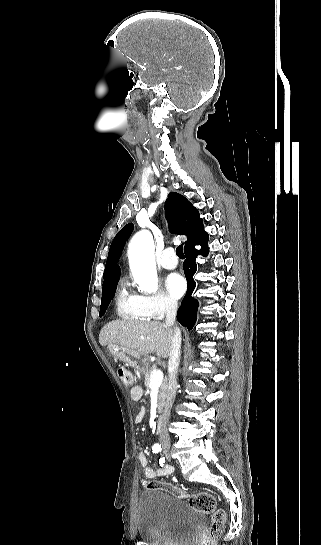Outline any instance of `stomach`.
<instances>
[{
	"mask_svg": "<svg viewBox=\"0 0 321 545\" xmlns=\"http://www.w3.org/2000/svg\"><path fill=\"white\" fill-rule=\"evenodd\" d=\"M108 351L112 357L128 363L132 369H136L138 373H145L150 367L149 355H140L137 351L127 349V347H121V345H108Z\"/></svg>",
	"mask_w": 321,
	"mask_h": 545,
	"instance_id": "0dacf381",
	"label": "stomach"
}]
</instances>
